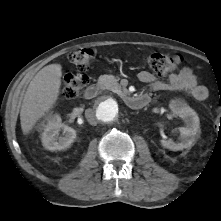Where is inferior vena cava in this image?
I'll return each instance as SVG.
<instances>
[{"mask_svg": "<svg viewBox=\"0 0 221 221\" xmlns=\"http://www.w3.org/2000/svg\"><path fill=\"white\" fill-rule=\"evenodd\" d=\"M85 116H86L89 124H91V125H96L97 124V120L95 118V114H94V112L91 109H87L85 111Z\"/></svg>", "mask_w": 221, "mask_h": 221, "instance_id": "602c4592", "label": "inferior vena cava"}]
</instances>
